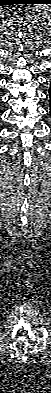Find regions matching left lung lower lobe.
Returning <instances> with one entry per match:
<instances>
[{"label": "left lung lower lobe", "instance_id": "obj_1", "mask_svg": "<svg viewBox=\"0 0 51 393\" xmlns=\"http://www.w3.org/2000/svg\"><path fill=\"white\" fill-rule=\"evenodd\" d=\"M49 94H50V99H51V84H50Z\"/></svg>", "mask_w": 51, "mask_h": 393}]
</instances>
